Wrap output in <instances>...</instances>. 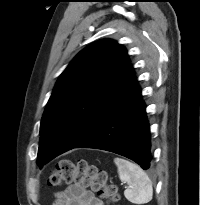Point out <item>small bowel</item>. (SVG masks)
Here are the masks:
<instances>
[{
    "label": "small bowel",
    "instance_id": "1",
    "mask_svg": "<svg viewBox=\"0 0 200 205\" xmlns=\"http://www.w3.org/2000/svg\"><path fill=\"white\" fill-rule=\"evenodd\" d=\"M53 205H103V202L84 186L73 184L55 194Z\"/></svg>",
    "mask_w": 200,
    "mask_h": 205
}]
</instances>
